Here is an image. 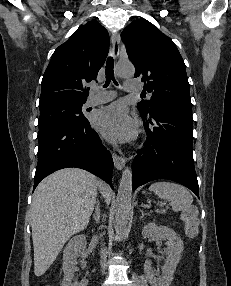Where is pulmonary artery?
Returning <instances> with one entry per match:
<instances>
[{
    "mask_svg": "<svg viewBox=\"0 0 231 286\" xmlns=\"http://www.w3.org/2000/svg\"><path fill=\"white\" fill-rule=\"evenodd\" d=\"M125 90L131 94H136L142 91V86L138 80L131 79L125 82ZM114 91L99 90L92 88V94L87 98L85 105L87 107L100 105L109 102L115 98Z\"/></svg>",
    "mask_w": 231,
    "mask_h": 286,
    "instance_id": "e3ab8cb5",
    "label": "pulmonary artery"
}]
</instances>
